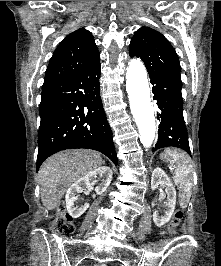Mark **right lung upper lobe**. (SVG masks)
<instances>
[{
	"label": "right lung upper lobe",
	"instance_id": "cb5924a9",
	"mask_svg": "<svg viewBox=\"0 0 221 266\" xmlns=\"http://www.w3.org/2000/svg\"><path fill=\"white\" fill-rule=\"evenodd\" d=\"M100 62V54L90 31L80 28L69 34L56 48L46 70V88L83 72Z\"/></svg>",
	"mask_w": 221,
	"mask_h": 266
}]
</instances>
